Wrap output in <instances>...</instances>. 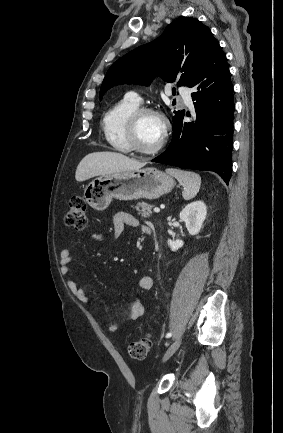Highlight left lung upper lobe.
<instances>
[{"label": "left lung upper lobe", "instance_id": "obj_1", "mask_svg": "<svg viewBox=\"0 0 283 433\" xmlns=\"http://www.w3.org/2000/svg\"><path fill=\"white\" fill-rule=\"evenodd\" d=\"M215 43L217 40L209 28L197 19L184 17L173 21L160 37L112 64L103 80L100 99L114 85H149L156 75L167 82L178 79V86H187L197 66ZM173 92L175 94V89ZM180 113L175 111L173 119Z\"/></svg>", "mask_w": 283, "mask_h": 433}]
</instances>
